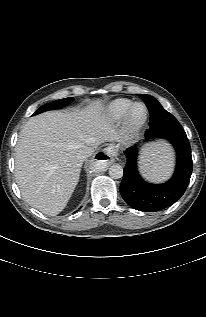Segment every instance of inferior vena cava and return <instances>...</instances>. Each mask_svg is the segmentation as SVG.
<instances>
[{"mask_svg": "<svg viewBox=\"0 0 206 317\" xmlns=\"http://www.w3.org/2000/svg\"><path fill=\"white\" fill-rule=\"evenodd\" d=\"M93 152H94V150L90 147L80 149L79 152L77 153V158L80 161H84L86 158L91 156L93 154Z\"/></svg>", "mask_w": 206, "mask_h": 317, "instance_id": "obj_1", "label": "inferior vena cava"}]
</instances>
